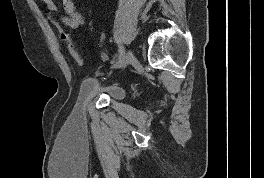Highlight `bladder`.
<instances>
[{"label": "bladder", "mask_w": 264, "mask_h": 178, "mask_svg": "<svg viewBox=\"0 0 264 178\" xmlns=\"http://www.w3.org/2000/svg\"><path fill=\"white\" fill-rule=\"evenodd\" d=\"M80 95L82 98L104 95L113 100H122L125 97V91L118 84L98 77H88L81 84Z\"/></svg>", "instance_id": "obj_1"}]
</instances>
